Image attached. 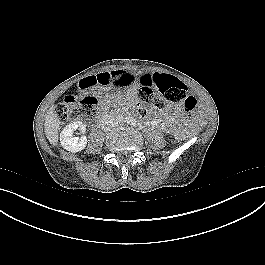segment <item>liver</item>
Wrapping results in <instances>:
<instances>
[{
	"label": "liver",
	"mask_w": 265,
	"mask_h": 265,
	"mask_svg": "<svg viewBox=\"0 0 265 265\" xmlns=\"http://www.w3.org/2000/svg\"><path fill=\"white\" fill-rule=\"evenodd\" d=\"M59 129H60V126H59L58 116L54 112L53 108H51L47 112L46 117H45L44 130H45L47 139L53 145H56L58 142Z\"/></svg>",
	"instance_id": "liver-1"
}]
</instances>
